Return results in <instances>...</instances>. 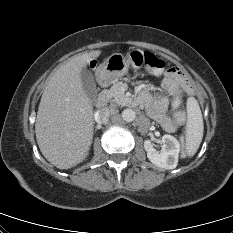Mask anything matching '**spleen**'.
<instances>
[{
  "label": "spleen",
  "instance_id": "obj_1",
  "mask_svg": "<svg viewBox=\"0 0 233 233\" xmlns=\"http://www.w3.org/2000/svg\"><path fill=\"white\" fill-rule=\"evenodd\" d=\"M204 123L197 100L193 97L187 100V123L185 133V152L192 157L197 152L203 138Z\"/></svg>",
  "mask_w": 233,
  "mask_h": 233
}]
</instances>
